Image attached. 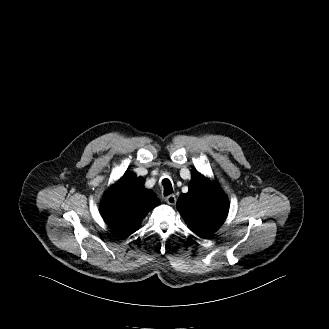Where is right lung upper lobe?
Segmentation results:
<instances>
[{"label": "right lung upper lobe", "instance_id": "1", "mask_svg": "<svg viewBox=\"0 0 329 329\" xmlns=\"http://www.w3.org/2000/svg\"><path fill=\"white\" fill-rule=\"evenodd\" d=\"M143 184L142 178L126 172L102 200L100 210L104 221L122 238L135 232L146 214L159 205L156 195Z\"/></svg>", "mask_w": 329, "mask_h": 329}]
</instances>
